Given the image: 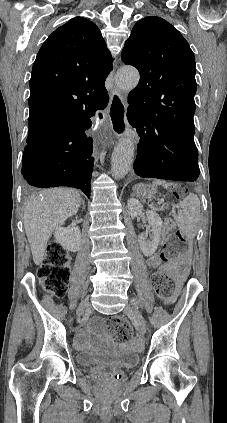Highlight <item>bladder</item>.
Listing matches in <instances>:
<instances>
[{
  "label": "bladder",
  "instance_id": "bladder-1",
  "mask_svg": "<svg viewBox=\"0 0 227 423\" xmlns=\"http://www.w3.org/2000/svg\"><path fill=\"white\" fill-rule=\"evenodd\" d=\"M76 362L78 366L85 368L98 364L99 366H110L126 372L139 364L140 355L131 350L110 354L95 352L94 350H81L76 353Z\"/></svg>",
  "mask_w": 227,
  "mask_h": 423
}]
</instances>
